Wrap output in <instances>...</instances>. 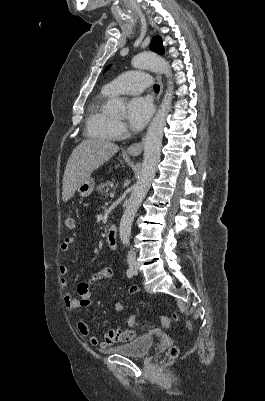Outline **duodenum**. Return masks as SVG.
<instances>
[{
  "instance_id": "duodenum-1",
  "label": "duodenum",
  "mask_w": 265,
  "mask_h": 401,
  "mask_svg": "<svg viewBox=\"0 0 265 401\" xmlns=\"http://www.w3.org/2000/svg\"><path fill=\"white\" fill-rule=\"evenodd\" d=\"M106 241L110 249L117 248V229L115 226H111L106 235Z\"/></svg>"
}]
</instances>
